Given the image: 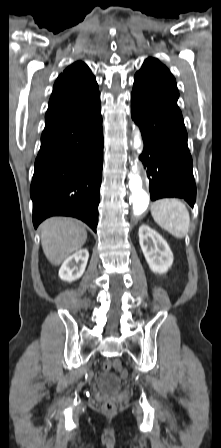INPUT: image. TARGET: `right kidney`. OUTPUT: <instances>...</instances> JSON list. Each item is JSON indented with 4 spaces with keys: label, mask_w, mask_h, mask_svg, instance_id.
Here are the masks:
<instances>
[{
    "label": "right kidney",
    "mask_w": 221,
    "mask_h": 448,
    "mask_svg": "<svg viewBox=\"0 0 221 448\" xmlns=\"http://www.w3.org/2000/svg\"><path fill=\"white\" fill-rule=\"evenodd\" d=\"M89 258L87 249H80L69 256L62 264L59 270V277L68 282L79 279L86 268Z\"/></svg>",
    "instance_id": "1"
}]
</instances>
